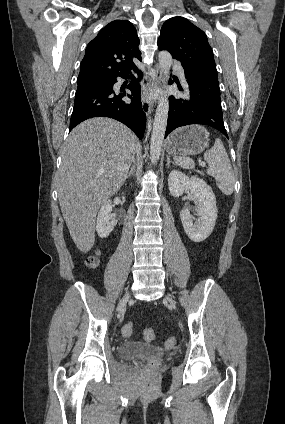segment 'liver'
<instances>
[{
	"instance_id": "1",
	"label": "liver",
	"mask_w": 285,
	"mask_h": 424,
	"mask_svg": "<svg viewBox=\"0 0 285 424\" xmlns=\"http://www.w3.org/2000/svg\"><path fill=\"white\" fill-rule=\"evenodd\" d=\"M136 143V135L122 123L95 117L75 127L61 147L59 204L83 253L94 245L98 209L126 180Z\"/></svg>"
}]
</instances>
